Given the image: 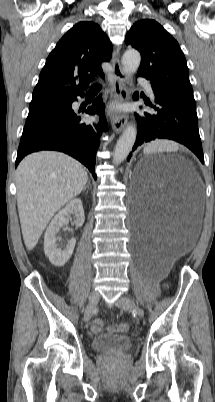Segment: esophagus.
I'll list each match as a JSON object with an SVG mask.
<instances>
[{
  "mask_svg": "<svg viewBox=\"0 0 215 402\" xmlns=\"http://www.w3.org/2000/svg\"><path fill=\"white\" fill-rule=\"evenodd\" d=\"M112 71H113L112 84H113L114 99L124 103L129 99V91L125 86L127 76L121 67L118 55L113 56ZM111 118H112L111 124L113 130L117 133L121 132L127 123V116L125 114H117L113 112L111 114Z\"/></svg>",
  "mask_w": 215,
  "mask_h": 402,
  "instance_id": "34e87169",
  "label": "esophagus"
}]
</instances>
